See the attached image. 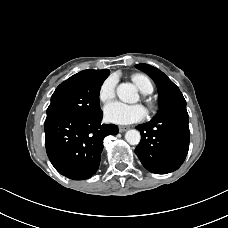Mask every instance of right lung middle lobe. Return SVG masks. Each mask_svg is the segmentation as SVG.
I'll list each match as a JSON object with an SVG mask.
<instances>
[{
	"mask_svg": "<svg viewBox=\"0 0 228 228\" xmlns=\"http://www.w3.org/2000/svg\"><path fill=\"white\" fill-rule=\"evenodd\" d=\"M110 71L83 70L61 83L47 109V118L58 115L92 116L101 112L99 92Z\"/></svg>",
	"mask_w": 228,
	"mask_h": 228,
	"instance_id": "obj_1",
	"label": "right lung middle lobe"
}]
</instances>
